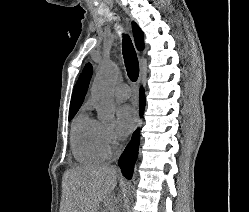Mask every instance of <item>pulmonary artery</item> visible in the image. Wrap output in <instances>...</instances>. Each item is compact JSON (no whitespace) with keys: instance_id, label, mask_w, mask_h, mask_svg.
I'll return each mask as SVG.
<instances>
[{"instance_id":"e3ab8cb5","label":"pulmonary artery","mask_w":249,"mask_h":212,"mask_svg":"<svg viewBox=\"0 0 249 212\" xmlns=\"http://www.w3.org/2000/svg\"><path fill=\"white\" fill-rule=\"evenodd\" d=\"M114 95L121 100H126L131 95V89L125 83L117 84L114 89Z\"/></svg>"}]
</instances>
